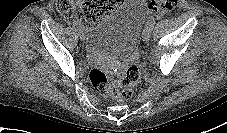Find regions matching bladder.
<instances>
[{
	"label": "bladder",
	"instance_id": "obj_1",
	"mask_svg": "<svg viewBox=\"0 0 227 133\" xmlns=\"http://www.w3.org/2000/svg\"><path fill=\"white\" fill-rule=\"evenodd\" d=\"M147 16V0H125L91 31L87 53L115 59L129 58Z\"/></svg>",
	"mask_w": 227,
	"mask_h": 133
}]
</instances>
